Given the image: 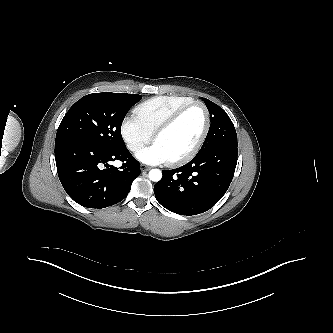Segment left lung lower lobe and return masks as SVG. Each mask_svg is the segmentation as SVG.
I'll return each mask as SVG.
<instances>
[{
	"label": "left lung lower lobe",
	"mask_w": 333,
	"mask_h": 333,
	"mask_svg": "<svg viewBox=\"0 0 333 333\" xmlns=\"http://www.w3.org/2000/svg\"><path fill=\"white\" fill-rule=\"evenodd\" d=\"M237 145L211 147L186 165L163 170L154 186L157 201L180 215H197L212 208L227 191L237 164Z\"/></svg>",
	"instance_id": "obj_1"
}]
</instances>
